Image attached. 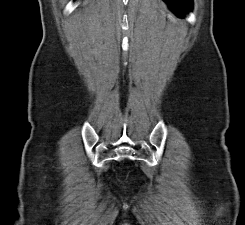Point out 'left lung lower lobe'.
Listing matches in <instances>:
<instances>
[{
    "label": "left lung lower lobe",
    "mask_w": 245,
    "mask_h": 225,
    "mask_svg": "<svg viewBox=\"0 0 245 225\" xmlns=\"http://www.w3.org/2000/svg\"><path fill=\"white\" fill-rule=\"evenodd\" d=\"M170 9L183 16L192 9V0H165Z\"/></svg>",
    "instance_id": "left-lung-lower-lobe-1"
}]
</instances>
